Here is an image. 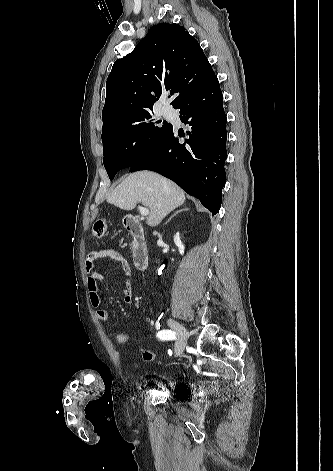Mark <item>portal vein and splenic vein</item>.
<instances>
[{"instance_id":"18ae733b","label":"portal vein and splenic vein","mask_w":333,"mask_h":471,"mask_svg":"<svg viewBox=\"0 0 333 471\" xmlns=\"http://www.w3.org/2000/svg\"><path fill=\"white\" fill-rule=\"evenodd\" d=\"M139 212L142 216H147L149 214V209L143 206H138Z\"/></svg>"}]
</instances>
